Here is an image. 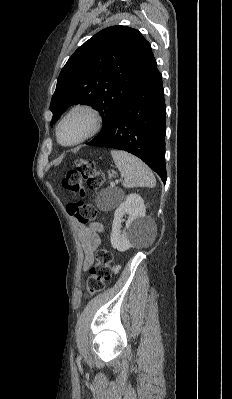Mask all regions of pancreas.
<instances>
[{"instance_id":"pancreas-1","label":"pancreas","mask_w":232,"mask_h":399,"mask_svg":"<svg viewBox=\"0 0 232 399\" xmlns=\"http://www.w3.org/2000/svg\"><path fill=\"white\" fill-rule=\"evenodd\" d=\"M109 178H111V174H109Z\"/></svg>"}]
</instances>
